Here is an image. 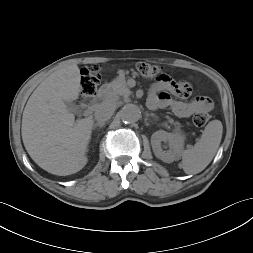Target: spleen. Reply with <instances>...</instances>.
I'll use <instances>...</instances> for the list:
<instances>
[{
    "mask_svg": "<svg viewBox=\"0 0 253 253\" xmlns=\"http://www.w3.org/2000/svg\"><path fill=\"white\" fill-rule=\"evenodd\" d=\"M223 126L221 121L213 120L207 124L199 141L182 153V168L186 174L203 171L215 156L221 142Z\"/></svg>",
    "mask_w": 253,
    "mask_h": 253,
    "instance_id": "1",
    "label": "spleen"
}]
</instances>
